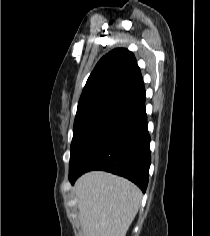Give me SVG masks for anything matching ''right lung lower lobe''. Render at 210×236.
<instances>
[{
    "label": "right lung lower lobe",
    "mask_w": 210,
    "mask_h": 236,
    "mask_svg": "<svg viewBox=\"0 0 210 236\" xmlns=\"http://www.w3.org/2000/svg\"><path fill=\"white\" fill-rule=\"evenodd\" d=\"M145 99L142 85L92 129L70 160L71 183L87 171L105 170L145 192L151 163Z\"/></svg>",
    "instance_id": "obj_1"
}]
</instances>
